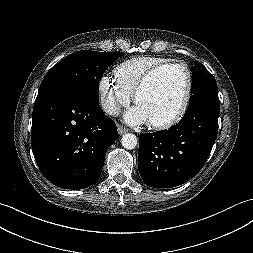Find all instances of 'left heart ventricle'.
<instances>
[{"mask_svg": "<svg viewBox=\"0 0 253 253\" xmlns=\"http://www.w3.org/2000/svg\"><path fill=\"white\" fill-rule=\"evenodd\" d=\"M186 88L185 73L180 68H169L155 76L139 95L136 105L148 122L163 121L180 109Z\"/></svg>", "mask_w": 253, "mask_h": 253, "instance_id": "left-heart-ventricle-1", "label": "left heart ventricle"}]
</instances>
